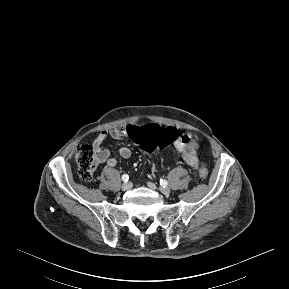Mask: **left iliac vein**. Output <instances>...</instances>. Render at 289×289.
Here are the masks:
<instances>
[{
    "instance_id": "left-iliac-vein-1",
    "label": "left iliac vein",
    "mask_w": 289,
    "mask_h": 289,
    "mask_svg": "<svg viewBox=\"0 0 289 289\" xmlns=\"http://www.w3.org/2000/svg\"><path fill=\"white\" fill-rule=\"evenodd\" d=\"M148 186H149L151 189H153V190L156 189V186H155L153 183H151V182H148ZM159 190H160L163 194H165V195H169L170 192H171L170 188H168V187H163V186L160 187Z\"/></svg>"
}]
</instances>
